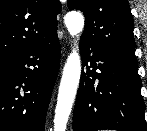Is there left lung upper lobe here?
<instances>
[{
  "label": "left lung upper lobe",
  "mask_w": 147,
  "mask_h": 131,
  "mask_svg": "<svg viewBox=\"0 0 147 131\" xmlns=\"http://www.w3.org/2000/svg\"><path fill=\"white\" fill-rule=\"evenodd\" d=\"M68 8L85 15L81 39L138 66L133 18L127 0H68Z\"/></svg>",
  "instance_id": "5c2ea615"
}]
</instances>
